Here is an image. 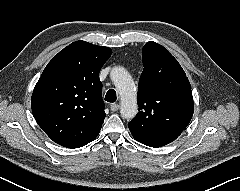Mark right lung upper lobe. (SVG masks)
Masks as SVG:
<instances>
[{
	"instance_id": "obj_1",
	"label": "right lung upper lobe",
	"mask_w": 240,
	"mask_h": 191,
	"mask_svg": "<svg viewBox=\"0 0 240 191\" xmlns=\"http://www.w3.org/2000/svg\"><path fill=\"white\" fill-rule=\"evenodd\" d=\"M112 50L76 41L44 69L32 97L33 116L55 143L79 148L96 138L105 118L99 71Z\"/></svg>"
}]
</instances>
